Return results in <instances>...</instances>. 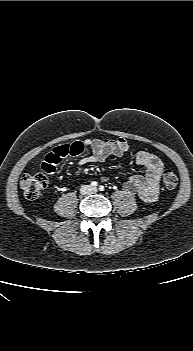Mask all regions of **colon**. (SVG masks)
<instances>
[{
  "instance_id": "colon-1",
  "label": "colon",
  "mask_w": 193,
  "mask_h": 351,
  "mask_svg": "<svg viewBox=\"0 0 193 351\" xmlns=\"http://www.w3.org/2000/svg\"><path fill=\"white\" fill-rule=\"evenodd\" d=\"M162 182L165 188L174 189L178 184V177L173 171L166 170L163 173ZM47 183L48 180L45 174H26L21 178L20 186L26 199L36 200L41 197Z\"/></svg>"
}]
</instances>
